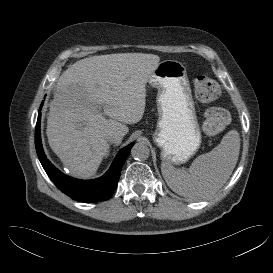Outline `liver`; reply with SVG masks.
<instances>
[{
	"mask_svg": "<svg viewBox=\"0 0 273 273\" xmlns=\"http://www.w3.org/2000/svg\"><path fill=\"white\" fill-rule=\"evenodd\" d=\"M159 61V56L145 53L99 55L79 60L62 73L46 134L70 174H95L109 152L107 137L117 134L122 139L129 131L125 124L142 119L146 83Z\"/></svg>",
	"mask_w": 273,
	"mask_h": 273,
	"instance_id": "1",
	"label": "liver"
}]
</instances>
